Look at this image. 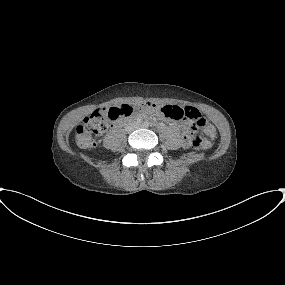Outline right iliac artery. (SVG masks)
I'll return each mask as SVG.
<instances>
[{
	"mask_svg": "<svg viewBox=\"0 0 285 285\" xmlns=\"http://www.w3.org/2000/svg\"><path fill=\"white\" fill-rule=\"evenodd\" d=\"M137 122H138V123H140V122H141V120H138Z\"/></svg>",
	"mask_w": 285,
	"mask_h": 285,
	"instance_id": "1",
	"label": "right iliac artery"
}]
</instances>
